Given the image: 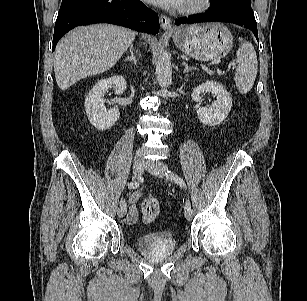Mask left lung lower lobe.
I'll return each instance as SVG.
<instances>
[{"label":"left lung lower lobe","instance_id":"obj_1","mask_svg":"<svg viewBox=\"0 0 307 301\" xmlns=\"http://www.w3.org/2000/svg\"><path fill=\"white\" fill-rule=\"evenodd\" d=\"M230 22L250 29L258 40L257 24L251 6H229L216 9L212 7L205 14L179 18L175 24H192L199 22Z\"/></svg>","mask_w":307,"mask_h":301}]
</instances>
